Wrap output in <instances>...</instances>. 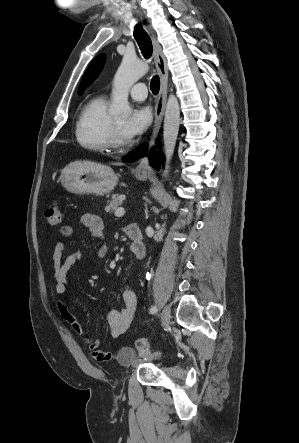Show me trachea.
<instances>
[{
	"label": "trachea",
	"mask_w": 299,
	"mask_h": 443,
	"mask_svg": "<svg viewBox=\"0 0 299 443\" xmlns=\"http://www.w3.org/2000/svg\"><path fill=\"white\" fill-rule=\"evenodd\" d=\"M134 38L143 56L149 59L153 52L152 42L147 32L139 24L135 27ZM150 89L154 95L158 94L160 89V79L158 75H155L151 79Z\"/></svg>",
	"instance_id": "3493384b"
}]
</instances>
